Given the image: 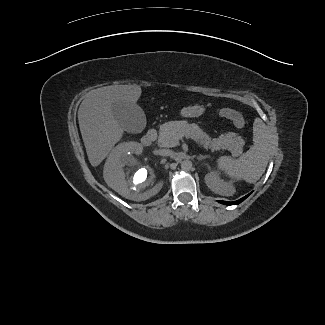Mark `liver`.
I'll return each mask as SVG.
<instances>
[{
  "label": "liver",
  "mask_w": 325,
  "mask_h": 325,
  "mask_svg": "<svg viewBox=\"0 0 325 325\" xmlns=\"http://www.w3.org/2000/svg\"><path fill=\"white\" fill-rule=\"evenodd\" d=\"M142 93L138 85L105 86L90 91L80 104L78 121L89 162L98 166L123 136L112 106L125 101L136 104ZM134 147L141 150L140 144Z\"/></svg>",
  "instance_id": "liver-1"
}]
</instances>
